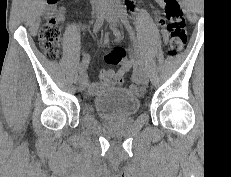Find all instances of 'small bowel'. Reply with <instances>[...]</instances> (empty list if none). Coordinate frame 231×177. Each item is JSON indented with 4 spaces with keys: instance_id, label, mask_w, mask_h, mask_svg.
Instances as JSON below:
<instances>
[{
    "instance_id": "small-bowel-1",
    "label": "small bowel",
    "mask_w": 231,
    "mask_h": 177,
    "mask_svg": "<svg viewBox=\"0 0 231 177\" xmlns=\"http://www.w3.org/2000/svg\"><path fill=\"white\" fill-rule=\"evenodd\" d=\"M158 2L162 3V0H157ZM57 3V2H56ZM55 4H49L50 9H55L57 17L59 20H64L65 18V8L60 6L54 8ZM126 6L130 10H134L135 6L133 4V0H126ZM114 38L112 39L110 35H106L104 38L105 42H117L120 38V35L117 31L113 32ZM84 61L87 62V58L84 56ZM135 60H126L120 62V69L118 71L113 70H105L102 69L98 73V80L96 82L90 83L88 86V91L90 94L94 95L97 94L102 88L110 87V86H120L125 81L126 73L135 66Z\"/></svg>"
}]
</instances>
